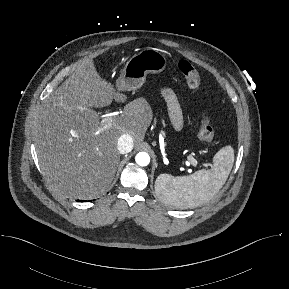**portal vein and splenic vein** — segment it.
I'll return each instance as SVG.
<instances>
[{
	"mask_svg": "<svg viewBox=\"0 0 289 289\" xmlns=\"http://www.w3.org/2000/svg\"><path fill=\"white\" fill-rule=\"evenodd\" d=\"M113 121H114V117L112 115H107L101 122H102L104 128H108L112 125ZM188 161L194 167H196L199 164L198 161L192 156L188 157ZM202 166L208 168L210 166V164L202 163Z\"/></svg>",
	"mask_w": 289,
	"mask_h": 289,
	"instance_id": "18ae733b",
	"label": "portal vein and splenic vein"
}]
</instances>
